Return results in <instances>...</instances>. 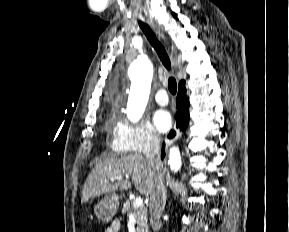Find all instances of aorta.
Instances as JSON below:
<instances>
[{
	"label": "aorta",
	"instance_id": "1",
	"mask_svg": "<svg viewBox=\"0 0 289 232\" xmlns=\"http://www.w3.org/2000/svg\"><path fill=\"white\" fill-rule=\"evenodd\" d=\"M152 75L153 67L147 58L139 57L131 64L132 85L127 113L132 121H138L144 113L150 94ZM168 163L172 171L180 170L181 156L177 147L170 149Z\"/></svg>",
	"mask_w": 289,
	"mask_h": 232
}]
</instances>
